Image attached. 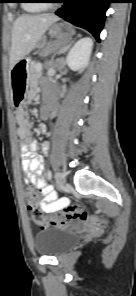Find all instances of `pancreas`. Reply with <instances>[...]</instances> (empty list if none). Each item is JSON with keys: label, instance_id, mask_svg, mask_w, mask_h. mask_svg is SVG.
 Returning a JSON list of instances; mask_svg holds the SVG:
<instances>
[{"label": "pancreas", "instance_id": "pancreas-1", "mask_svg": "<svg viewBox=\"0 0 136 296\" xmlns=\"http://www.w3.org/2000/svg\"><path fill=\"white\" fill-rule=\"evenodd\" d=\"M38 65L39 63H36V62H31L30 64V75L33 78H37L38 76H40V72L36 69Z\"/></svg>", "mask_w": 136, "mask_h": 296}]
</instances>
